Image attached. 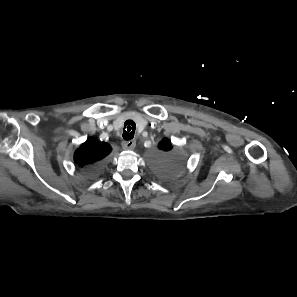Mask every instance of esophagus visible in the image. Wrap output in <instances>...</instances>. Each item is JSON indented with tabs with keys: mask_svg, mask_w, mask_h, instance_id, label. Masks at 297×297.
Here are the masks:
<instances>
[{
	"mask_svg": "<svg viewBox=\"0 0 297 297\" xmlns=\"http://www.w3.org/2000/svg\"><path fill=\"white\" fill-rule=\"evenodd\" d=\"M136 146L135 140H129V141H123L122 142V148L124 150H133Z\"/></svg>",
	"mask_w": 297,
	"mask_h": 297,
	"instance_id": "esophagus-1",
	"label": "esophagus"
}]
</instances>
